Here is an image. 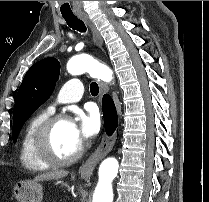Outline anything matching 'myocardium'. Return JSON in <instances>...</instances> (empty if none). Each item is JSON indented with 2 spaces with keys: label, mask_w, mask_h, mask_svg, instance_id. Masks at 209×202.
Returning a JSON list of instances; mask_svg holds the SVG:
<instances>
[{
  "label": "myocardium",
  "mask_w": 209,
  "mask_h": 202,
  "mask_svg": "<svg viewBox=\"0 0 209 202\" xmlns=\"http://www.w3.org/2000/svg\"><path fill=\"white\" fill-rule=\"evenodd\" d=\"M64 121H69V117L65 114L50 116L40 124L35 133L33 140L34 153L43 163L49 166H67L73 164L82 156V146H80L79 149L73 155L66 158H61L57 156L51 150L50 136L55 127Z\"/></svg>",
  "instance_id": "myocardium-1"
}]
</instances>
